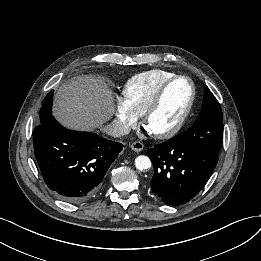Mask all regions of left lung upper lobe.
<instances>
[{"label": "left lung upper lobe", "instance_id": "5c2ea615", "mask_svg": "<svg viewBox=\"0 0 261 261\" xmlns=\"http://www.w3.org/2000/svg\"><path fill=\"white\" fill-rule=\"evenodd\" d=\"M202 111L195 123L185 132L188 143L202 149L219 153L223 141V115L219 102L204 85Z\"/></svg>", "mask_w": 261, "mask_h": 261}]
</instances>
